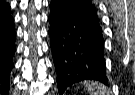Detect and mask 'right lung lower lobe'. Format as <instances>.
Here are the masks:
<instances>
[{"label":"right lung lower lobe","mask_w":135,"mask_h":95,"mask_svg":"<svg viewBox=\"0 0 135 95\" xmlns=\"http://www.w3.org/2000/svg\"><path fill=\"white\" fill-rule=\"evenodd\" d=\"M14 20L10 14L0 15V92L9 94L10 71L13 68L12 58L15 53Z\"/></svg>","instance_id":"98d812e1"}]
</instances>
